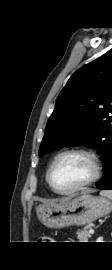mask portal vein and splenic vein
I'll use <instances>...</instances> for the list:
<instances>
[{
	"mask_svg": "<svg viewBox=\"0 0 112 270\" xmlns=\"http://www.w3.org/2000/svg\"><path fill=\"white\" fill-rule=\"evenodd\" d=\"M89 233H90V234H93V233H94V229L90 228V229H89Z\"/></svg>",
	"mask_w": 112,
	"mask_h": 270,
	"instance_id": "portal-vein-and-splenic-vein-1",
	"label": "portal vein and splenic vein"
}]
</instances>
